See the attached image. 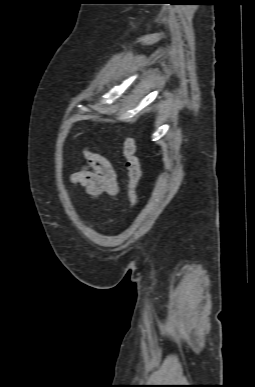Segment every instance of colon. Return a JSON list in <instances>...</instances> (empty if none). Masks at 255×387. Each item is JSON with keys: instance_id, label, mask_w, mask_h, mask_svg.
Returning a JSON list of instances; mask_svg holds the SVG:
<instances>
[{"instance_id": "1", "label": "colon", "mask_w": 255, "mask_h": 387, "mask_svg": "<svg viewBox=\"0 0 255 387\" xmlns=\"http://www.w3.org/2000/svg\"><path fill=\"white\" fill-rule=\"evenodd\" d=\"M125 166L128 172V200L131 206L137 202V192L141 179V166L137 156V142L132 137H126L123 143Z\"/></svg>"}]
</instances>
